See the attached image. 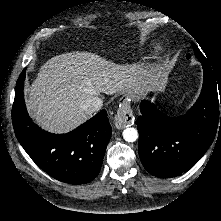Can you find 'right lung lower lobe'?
<instances>
[{"label": "right lung lower lobe", "instance_id": "right-lung-lower-lobe-1", "mask_svg": "<svg viewBox=\"0 0 221 221\" xmlns=\"http://www.w3.org/2000/svg\"><path fill=\"white\" fill-rule=\"evenodd\" d=\"M25 70L17 80L12 109L16 137L32 160L59 181L85 184L99 173L111 137L107 113L94 117L66 134H52L34 124L27 114L23 85Z\"/></svg>", "mask_w": 221, "mask_h": 221}]
</instances>
